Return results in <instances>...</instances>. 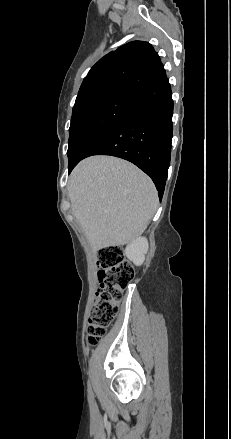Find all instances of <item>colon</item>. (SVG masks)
Returning <instances> with one entry per match:
<instances>
[{"instance_id": "5ec220e1", "label": "colon", "mask_w": 231, "mask_h": 439, "mask_svg": "<svg viewBox=\"0 0 231 439\" xmlns=\"http://www.w3.org/2000/svg\"><path fill=\"white\" fill-rule=\"evenodd\" d=\"M100 288L90 312L88 342L100 343L117 314L123 292L134 277V270L118 246H106L98 255Z\"/></svg>"}]
</instances>
